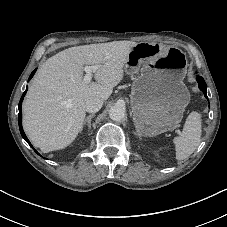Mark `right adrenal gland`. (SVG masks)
I'll return each mask as SVG.
<instances>
[{"label": "right adrenal gland", "instance_id": "obj_1", "mask_svg": "<svg viewBox=\"0 0 227 227\" xmlns=\"http://www.w3.org/2000/svg\"><path fill=\"white\" fill-rule=\"evenodd\" d=\"M94 117V114H90L86 117L85 121H84V125L87 124L88 126V132L90 131L91 128V119Z\"/></svg>", "mask_w": 227, "mask_h": 227}]
</instances>
